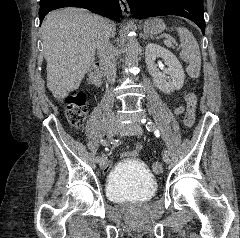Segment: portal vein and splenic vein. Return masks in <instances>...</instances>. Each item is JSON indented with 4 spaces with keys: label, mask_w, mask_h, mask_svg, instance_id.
I'll return each mask as SVG.
<instances>
[{
    "label": "portal vein and splenic vein",
    "mask_w": 240,
    "mask_h": 238,
    "mask_svg": "<svg viewBox=\"0 0 240 238\" xmlns=\"http://www.w3.org/2000/svg\"><path fill=\"white\" fill-rule=\"evenodd\" d=\"M165 44H166L168 47H171V46H172V41H171V39L165 40Z\"/></svg>",
    "instance_id": "portal-vein-and-splenic-vein-1"
}]
</instances>
